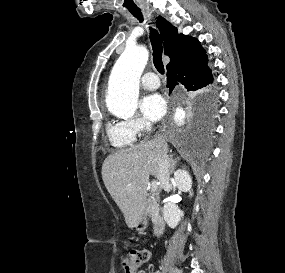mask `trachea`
I'll return each mask as SVG.
<instances>
[{
    "mask_svg": "<svg viewBox=\"0 0 285 273\" xmlns=\"http://www.w3.org/2000/svg\"><path fill=\"white\" fill-rule=\"evenodd\" d=\"M140 22L143 21V15L141 12H131ZM150 41L153 48V63L157 71L164 74V65L162 62V39L156 29L150 28Z\"/></svg>",
    "mask_w": 285,
    "mask_h": 273,
    "instance_id": "trachea-1",
    "label": "trachea"
}]
</instances>
